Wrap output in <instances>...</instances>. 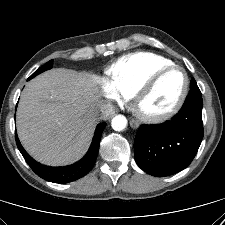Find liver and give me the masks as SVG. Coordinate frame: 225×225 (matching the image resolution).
Wrapping results in <instances>:
<instances>
[{"label":"liver","instance_id":"liver-1","mask_svg":"<svg viewBox=\"0 0 225 225\" xmlns=\"http://www.w3.org/2000/svg\"><path fill=\"white\" fill-rule=\"evenodd\" d=\"M100 99L92 76L65 68L46 71L25 86L17 109V132L37 161L61 166L88 150Z\"/></svg>","mask_w":225,"mask_h":225}]
</instances>
